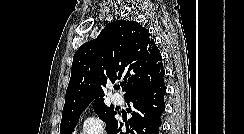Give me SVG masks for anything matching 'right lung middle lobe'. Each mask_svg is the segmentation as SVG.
I'll list each match as a JSON object with an SVG mask.
<instances>
[{
  "mask_svg": "<svg viewBox=\"0 0 244 134\" xmlns=\"http://www.w3.org/2000/svg\"><path fill=\"white\" fill-rule=\"evenodd\" d=\"M93 109L99 118L106 123L107 129L115 119L116 109L113 106L108 107L105 103L95 105ZM80 115L81 113L73 117L63 118L60 124V134H72Z\"/></svg>",
  "mask_w": 244,
  "mask_h": 134,
  "instance_id": "right-lung-middle-lobe-1",
  "label": "right lung middle lobe"
}]
</instances>
